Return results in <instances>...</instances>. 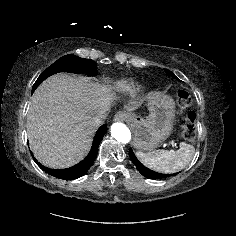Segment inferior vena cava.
Here are the masks:
<instances>
[{
  "label": "inferior vena cava",
  "instance_id": "obj_1",
  "mask_svg": "<svg viewBox=\"0 0 236 236\" xmlns=\"http://www.w3.org/2000/svg\"><path fill=\"white\" fill-rule=\"evenodd\" d=\"M104 119L105 118L95 117L92 121V126L97 129L99 126H101L104 123Z\"/></svg>",
  "mask_w": 236,
  "mask_h": 236
}]
</instances>
